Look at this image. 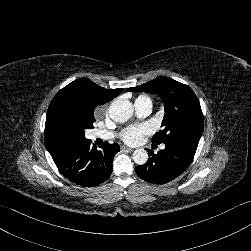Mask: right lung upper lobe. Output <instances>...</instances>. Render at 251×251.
Wrapping results in <instances>:
<instances>
[{
  "label": "right lung upper lobe",
  "instance_id": "obj_1",
  "mask_svg": "<svg viewBox=\"0 0 251 251\" xmlns=\"http://www.w3.org/2000/svg\"><path fill=\"white\" fill-rule=\"evenodd\" d=\"M122 90V88L105 89L87 78H80L62 88L55 95L53 101L60 102L62 106L70 110L84 115L94 116V109L98 105L112 100L118 96ZM44 141L46 148L50 151L57 143L67 140L45 135Z\"/></svg>",
  "mask_w": 251,
  "mask_h": 251
}]
</instances>
